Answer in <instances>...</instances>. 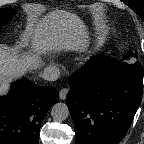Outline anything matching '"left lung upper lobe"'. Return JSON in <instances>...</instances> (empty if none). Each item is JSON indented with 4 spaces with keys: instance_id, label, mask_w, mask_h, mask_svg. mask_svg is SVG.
Masks as SVG:
<instances>
[{
    "instance_id": "left-lung-upper-lobe-1",
    "label": "left lung upper lobe",
    "mask_w": 144,
    "mask_h": 144,
    "mask_svg": "<svg viewBox=\"0 0 144 144\" xmlns=\"http://www.w3.org/2000/svg\"><path fill=\"white\" fill-rule=\"evenodd\" d=\"M134 56L135 58H137V54H132L130 51L127 53V55L124 56V58L122 60H115V59H112L114 62L115 61H124V62H128L129 58ZM132 64H135V65H139L141 64L139 61H135L133 60L132 61Z\"/></svg>"
}]
</instances>
